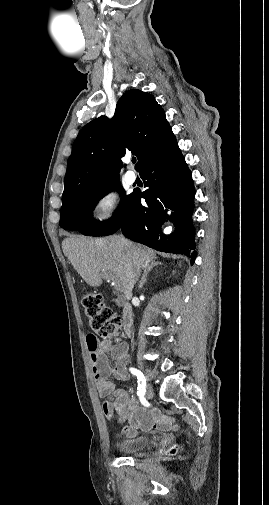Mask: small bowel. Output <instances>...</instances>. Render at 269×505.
<instances>
[{
    "label": "small bowel",
    "instance_id": "1",
    "mask_svg": "<svg viewBox=\"0 0 269 505\" xmlns=\"http://www.w3.org/2000/svg\"><path fill=\"white\" fill-rule=\"evenodd\" d=\"M87 348L92 362V368L98 394L105 398L103 410L108 418L117 412L127 421L122 434L126 437H136L140 430L157 429L166 431L174 425L172 418L161 415L157 409L147 410L139 407L124 389H115L111 378L129 379L127 371L128 346L124 343L113 344L110 340H98L90 335L86 337ZM107 354L113 360L110 365Z\"/></svg>",
    "mask_w": 269,
    "mask_h": 505
}]
</instances>
